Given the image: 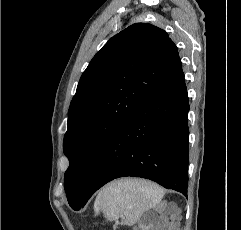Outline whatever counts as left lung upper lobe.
I'll use <instances>...</instances> for the list:
<instances>
[{
	"mask_svg": "<svg viewBox=\"0 0 241 230\" xmlns=\"http://www.w3.org/2000/svg\"><path fill=\"white\" fill-rule=\"evenodd\" d=\"M180 66L176 45L151 24L129 26L96 53L71 101L64 136L70 205L81 200L105 143Z\"/></svg>",
	"mask_w": 241,
	"mask_h": 230,
	"instance_id": "5c2ea615",
	"label": "left lung upper lobe"
}]
</instances>
